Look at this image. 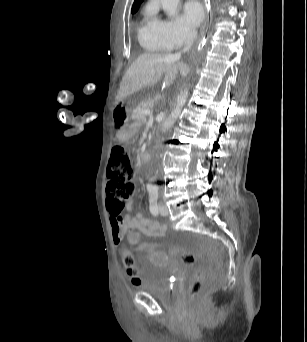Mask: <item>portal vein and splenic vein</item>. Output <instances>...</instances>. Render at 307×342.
Returning a JSON list of instances; mask_svg holds the SVG:
<instances>
[{"instance_id": "1", "label": "portal vein and splenic vein", "mask_w": 307, "mask_h": 342, "mask_svg": "<svg viewBox=\"0 0 307 342\" xmlns=\"http://www.w3.org/2000/svg\"><path fill=\"white\" fill-rule=\"evenodd\" d=\"M143 114H151V110H144Z\"/></svg>"}]
</instances>
